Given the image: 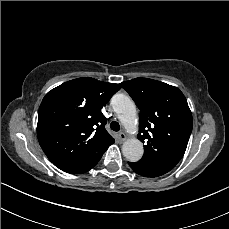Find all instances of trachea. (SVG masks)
Listing matches in <instances>:
<instances>
[{"label": "trachea", "instance_id": "3493384b", "mask_svg": "<svg viewBox=\"0 0 229 229\" xmlns=\"http://www.w3.org/2000/svg\"><path fill=\"white\" fill-rule=\"evenodd\" d=\"M110 128L113 130V131H119L120 130V124L117 122V121H112L110 123Z\"/></svg>", "mask_w": 229, "mask_h": 229}]
</instances>
